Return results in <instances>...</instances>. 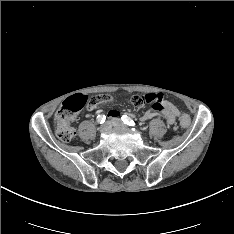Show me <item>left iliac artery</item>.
I'll return each mask as SVG.
<instances>
[{
  "instance_id": "obj_1",
  "label": "left iliac artery",
  "mask_w": 234,
  "mask_h": 234,
  "mask_svg": "<svg viewBox=\"0 0 234 234\" xmlns=\"http://www.w3.org/2000/svg\"><path fill=\"white\" fill-rule=\"evenodd\" d=\"M121 119L125 124H127L129 126H135L136 125L135 122L127 115H123Z\"/></svg>"
}]
</instances>
